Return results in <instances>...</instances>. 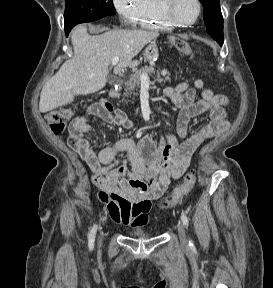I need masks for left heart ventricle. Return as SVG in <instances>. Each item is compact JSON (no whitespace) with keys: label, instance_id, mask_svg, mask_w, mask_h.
<instances>
[{"label":"left heart ventricle","instance_id":"b2bd125f","mask_svg":"<svg viewBox=\"0 0 273 288\" xmlns=\"http://www.w3.org/2000/svg\"><path fill=\"white\" fill-rule=\"evenodd\" d=\"M173 12L181 21H192L197 15V5L195 0H175Z\"/></svg>","mask_w":273,"mask_h":288}]
</instances>
